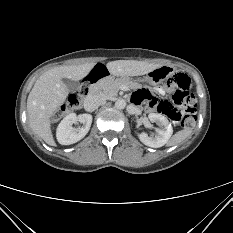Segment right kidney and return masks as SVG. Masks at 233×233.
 Here are the masks:
<instances>
[{"label":"right kidney","mask_w":233,"mask_h":233,"mask_svg":"<svg viewBox=\"0 0 233 233\" xmlns=\"http://www.w3.org/2000/svg\"><path fill=\"white\" fill-rule=\"evenodd\" d=\"M91 114L76 115L71 113L67 115L58 125L56 137L61 145H70L80 141L88 133L92 124ZM77 121L81 122L83 126L78 129V132L72 127Z\"/></svg>","instance_id":"ca27d5eb"}]
</instances>
